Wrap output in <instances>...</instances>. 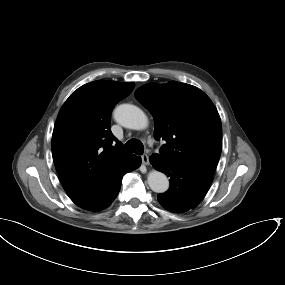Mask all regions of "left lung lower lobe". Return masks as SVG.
I'll return each instance as SVG.
<instances>
[{
    "mask_svg": "<svg viewBox=\"0 0 285 285\" xmlns=\"http://www.w3.org/2000/svg\"><path fill=\"white\" fill-rule=\"evenodd\" d=\"M153 167L170 177V188L157 196L159 203L167 210L183 213L194 209L205 197L213 176L192 167L152 155Z\"/></svg>",
    "mask_w": 285,
    "mask_h": 285,
    "instance_id": "0a47b994",
    "label": "left lung lower lobe"
}]
</instances>
